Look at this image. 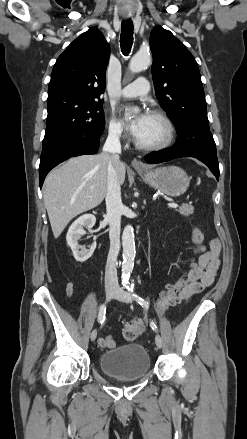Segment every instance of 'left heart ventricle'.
Returning a JSON list of instances; mask_svg holds the SVG:
<instances>
[{"mask_svg": "<svg viewBox=\"0 0 247 439\" xmlns=\"http://www.w3.org/2000/svg\"><path fill=\"white\" fill-rule=\"evenodd\" d=\"M166 129L163 122L153 116H148L147 123L142 134L137 138L142 144L152 145L165 139Z\"/></svg>", "mask_w": 247, "mask_h": 439, "instance_id": "left-heart-ventricle-1", "label": "left heart ventricle"}]
</instances>
